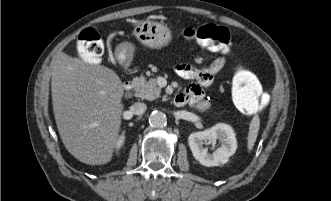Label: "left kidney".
Masks as SVG:
<instances>
[{"mask_svg": "<svg viewBox=\"0 0 331 201\" xmlns=\"http://www.w3.org/2000/svg\"><path fill=\"white\" fill-rule=\"evenodd\" d=\"M217 140L221 145L213 153H209L204 145L214 146ZM188 143L194 158L207 167L225 164L237 149L235 133L232 127L225 123H218L204 131L191 133Z\"/></svg>", "mask_w": 331, "mask_h": 201, "instance_id": "left-kidney-1", "label": "left kidney"}]
</instances>
